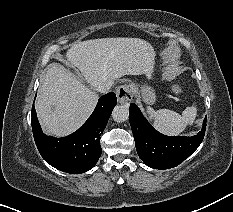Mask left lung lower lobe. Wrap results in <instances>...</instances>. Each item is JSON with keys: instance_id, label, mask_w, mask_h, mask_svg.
Wrapping results in <instances>:
<instances>
[{"instance_id": "obj_1", "label": "left lung lower lobe", "mask_w": 233, "mask_h": 212, "mask_svg": "<svg viewBox=\"0 0 233 212\" xmlns=\"http://www.w3.org/2000/svg\"><path fill=\"white\" fill-rule=\"evenodd\" d=\"M129 122L139 157L155 169H169L182 163L199 147L206 129L205 118L202 130L195 136H165L150 125L135 103L130 104Z\"/></svg>"}]
</instances>
